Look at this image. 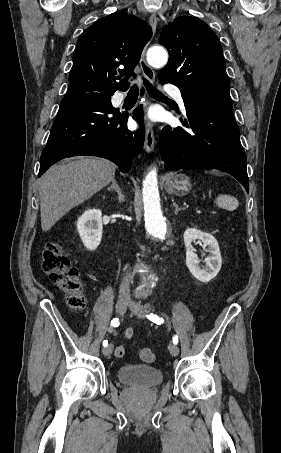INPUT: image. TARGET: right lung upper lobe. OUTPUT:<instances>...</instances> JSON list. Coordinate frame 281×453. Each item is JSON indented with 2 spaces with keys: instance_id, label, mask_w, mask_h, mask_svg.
<instances>
[{
  "instance_id": "right-lung-upper-lobe-1",
  "label": "right lung upper lobe",
  "mask_w": 281,
  "mask_h": 453,
  "mask_svg": "<svg viewBox=\"0 0 281 453\" xmlns=\"http://www.w3.org/2000/svg\"><path fill=\"white\" fill-rule=\"evenodd\" d=\"M151 35L147 23L123 12L96 21L77 41L66 95H113L126 90V79L135 76L133 70ZM117 72L125 76L119 82Z\"/></svg>"
}]
</instances>
